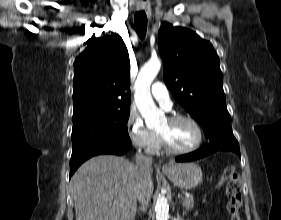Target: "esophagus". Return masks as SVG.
<instances>
[{
	"instance_id": "34e87169",
	"label": "esophagus",
	"mask_w": 281,
	"mask_h": 220,
	"mask_svg": "<svg viewBox=\"0 0 281 220\" xmlns=\"http://www.w3.org/2000/svg\"><path fill=\"white\" fill-rule=\"evenodd\" d=\"M140 9H141V8H140ZM168 169H169L168 166H163V167H162V170H163V171H166V170H168Z\"/></svg>"
}]
</instances>
